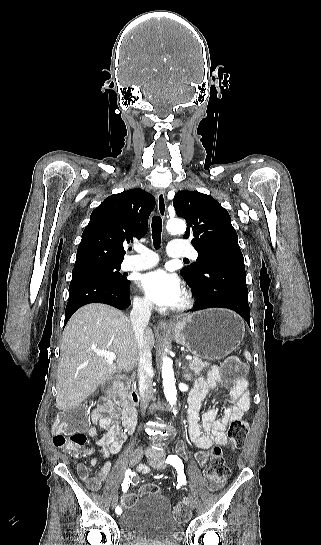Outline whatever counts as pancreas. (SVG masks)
Listing matches in <instances>:
<instances>
[{
    "label": "pancreas",
    "mask_w": 321,
    "mask_h": 545,
    "mask_svg": "<svg viewBox=\"0 0 321 545\" xmlns=\"http://www.w3.org/2000/svg\"><path fill=\"white\" fill-rule=\"evenodd\" d=\"M210 363H206V361H202V359H197V357H194L192 363H189V367L195 375H199L205 367H209Z\"/></svg>",
    "instance_id": "cf45deb5"
}]
</instances>
